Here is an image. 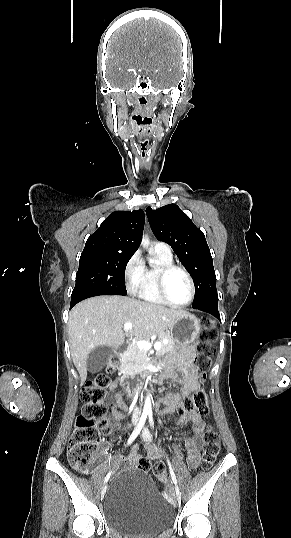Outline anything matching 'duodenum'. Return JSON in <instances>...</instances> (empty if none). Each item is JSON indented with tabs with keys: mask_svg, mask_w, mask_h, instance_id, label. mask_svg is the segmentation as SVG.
I'll list each match as a JSON object with an SVG mask.
<instances>
[{
	"mask_svg": "<svg viewBox=\"0 0 291 538\" xmlns=\"http://www.w3.org/2000/svg\"><path fill=\"white\" fill-rule=\"evenodd\" d=\"M128 351L126 347H119L117 353L119 355H124ZM121 377H124V374H121ZM147 377H150V374L146 372L143 373H134L127 372L123 381L125 382V394L131 398H137L140 396L142 389L145 387H150V382H147Z\"/></svg>",
	"mask_w": 291,
	"mask_h": 538,
	"instance_id": "obj_1",
	"label": "duodenum"
}]
</instances>
